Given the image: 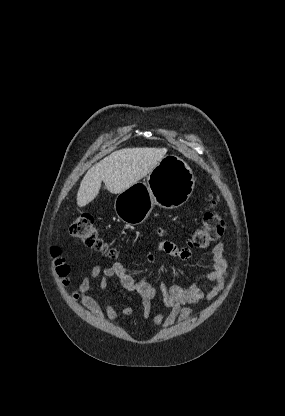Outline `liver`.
Instances as JSON below:
<instances>
[{
    "label": "liver",
    "instance_id": "6515ba94",
    "mask_svg": "<svg viewBox=\"0 0 285 416\" xmlns=\"http://www.w3.org/2000/svg\"><path fill=\"white\" fill-rule=\"evenodd\" d=\"M166 152V148H124L112 152L85 174L78 190L77 206L83 208L95 200L102 182L111 194H121L150 174Z\"/></svg>",
    "mask_w": 285,
    "mask_h": 416
}]
</instances>
